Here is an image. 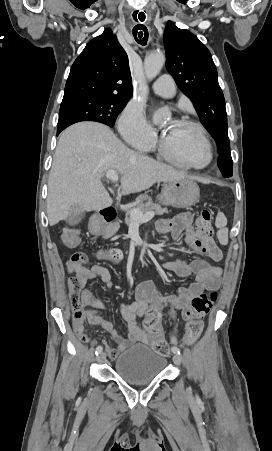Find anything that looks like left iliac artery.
<instances>
[{"label":"left iliac artery","mask_w":272,"mask_h":451,"mask_svg":"<svg viewBox=\"0 0 272 451\" xmlns=\"http://www.w3.org/2000/svg\"><path fill=\"white\" fill-rule=\"evenodd\" d=\"M172 352L175 353V354H177V355H180V354H181V353H180V349L177 348V347H173V348H172ZM197 398H198V396H197Z\"/></svg>","instance_id":"44dca946"}]
</instances>
